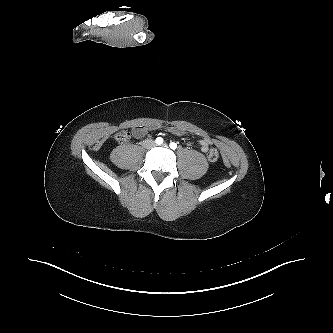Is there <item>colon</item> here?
I'll list each match as a JSON object with an SVG mask.
<instances>
[{"instance_id":"colon-1","label":"colon","mask_w":333,"mask_h":333,"mask_svg":"<svg viewBox=\"0 0 333 333\" xmlns=\"http://www.w3.org/2000/svg\"><path fill=\"white\" fill-rule=\"evenodd\" d=\"M115 139L119 143H124L130 139V134L126 131H121L115 135ZM208 159L210 162H216L219 159L218 151L215 149L210 150L208 153Z\"/></svg>"}]
</instances>
